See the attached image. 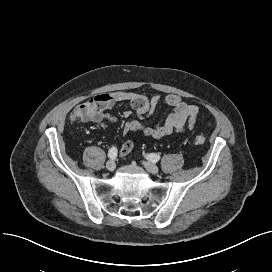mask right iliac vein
Here are the masks:
<instances>
[{"label": "right iliac vein", "instance_id": "63e3f726", "mask_svg": "<svg viewBox=\"0 0 272 272\" xmlns=\"http://www.w3.org/2000/svg\"><path fill=\"white\" fill-rule=\"evenodd\" d=\"M116 167V164L113 160H109L107 163H106V169L110 172L114 171Z\"/></svg>", "mask_w": 272, "mask_h": 272}]
</instances>
